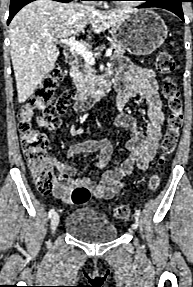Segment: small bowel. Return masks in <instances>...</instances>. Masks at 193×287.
<instances>
[{"instance_id": "small-bowel-1", "label": "small bowel", "mask_w": 193, "mask_h": 287, "mask_svg": "<svg viewBox=\"0 0 193 287\" xmlns=\"http://www.w3.org/2000/svg\"><path fill=\"white\" fill-rule=\"evenodd\" d=\"M111 74L115 78L119 90L117 99L119 115L116 124L129 131L125 147L130 152V157L121 166L108 169L107 165L113 152V147L109 140L72 144L67 151V157L70 159L84 152L100 151L96 162V167L101 172L99 183H96L89 177L74 178L77 173L75 167L63 163L57 157H51L50 164L58 172L53 194L63 202L71 203L70 193L78 186L88 188L94 198H112L122 190L124 178L132 172L134 167L136 166L139 169L148 168L156 153L161 138L164 113L158 94L155 71L150 68L131 65L120 58L111 63ZM136 97L143 98L148 104L149 121L145 134L138 130L135 119L124 111L126 104ZM40 121L49 130L56 128L50 119L45 116H42ZM82 133V127L76 124L72 126V135H80Z\"/></svg>"}]
</instances>
